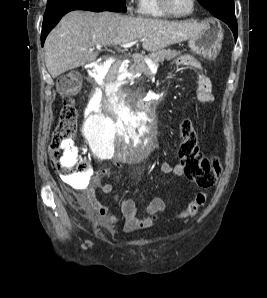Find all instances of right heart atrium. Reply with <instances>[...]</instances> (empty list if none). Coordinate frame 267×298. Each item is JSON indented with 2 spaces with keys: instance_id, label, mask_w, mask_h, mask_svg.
I'll return each instance as SVG.
<instances>
[{
  "instance_id": "d8ad5b80",
  "label": "right heart atrium",
  "mask_w": 267,
  "mask_h": 298,
  "mask_svg": "<svg viewBox=\"0 0 267 298\" xmlns=\"http://www.w3.org/2000/svg\"><path fill=\"white\" fill-rule=\"evenodd\" d=\"M139 0H125V6L129 13H135L138 11Z\"/></svg>"
}]
</instances>
